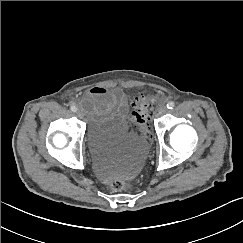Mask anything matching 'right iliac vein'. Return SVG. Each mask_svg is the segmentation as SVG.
<instances>
[{"mask_svg": "<svg viewBox=\"0 0 243 243\" xmlns=\"http://www.w3.org/2000/svg\"><path fill=\"white\" fill-rule=\"evenodd\" d=\"M76 114H77V116H78L80 119H82V118L84 117V114H83V112H82L81 110H78V111L76 112Z\"/></svg>", "mask_w": 243, "mask_h": 243, "instance_id": "obj_1", "label": "right iliac vein"}]
</instances>
